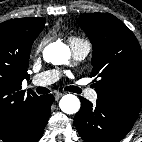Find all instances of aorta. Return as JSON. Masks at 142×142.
Here are the masks:
<instances>
[{"label":"aorta","instance_id":"aorta-1","mask_svg":"<svg viewBox=\"0 0 142 142\" xmlns=\"http://www.w3.org/2000/svg\"><path fill=\"white\" fill-rule=\"evenodd\" d=\"M70 49L63 43H53L44 50V60L55 65H61L68 62L70 58ZM60 109L66 114H75L80 109V100L73 94L64 95L59 102Z\"/></svg>","mask_w":142,"mask_h":142}]
</instances>
